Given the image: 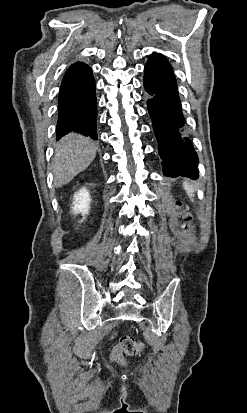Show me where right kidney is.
<instances>
[{
	"mask_svg": "<svg viewBox=\"0 0 247 413\" xmlns=\"http://www.w3.org/2000/svg\"><path fill=\"white\" fill-rule=\"evenodd\" d=\"M90 202V192L86 186H82V188L74 194L73 207H71V209L75 215L81 213L82 217H84V215H88L90 211Z\"/></svg>",
	"mask_w": 247,
	"mask_h": 413,
	"instance_id": "ca27d5eb",
	"label": "right kidney"
}]
</instances>
